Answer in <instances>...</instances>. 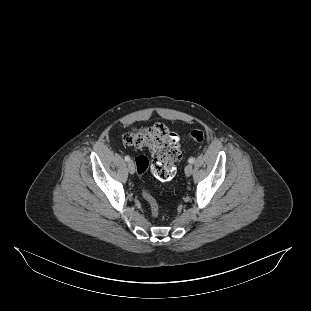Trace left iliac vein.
I'll use <instances>...</instances> for the list:
<instances>
[{
	"instance_id": "1",
	"label": "left iliac vein",
	"mask_w": 311,
	"mask_h": 311,
	"mask_svg": "<svg viewBox=\"0 0 311 311\" xmlns=\"http://www.w3.org/2000/svg\"><path fill=\"white\" fill-rule=\"evenodd\" d=\"M193 172V166L191 164H188L186 167H185V174L186 176H190Z\"/></svg>"
}]
</instances>
